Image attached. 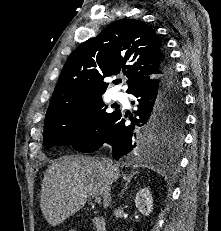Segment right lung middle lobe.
<instances>
[{"instance_id": "right-lung-middle-lobe-1", "label": "right lung middle lobe", "mask_w": 221, "mask_h": 231, "mask_svg": "<svg viewBox=\"0 0 221 231\" xmlns=\"http://www.w3.org/2000/svg\"><path fill=\"white\" fill-rule=\"evenodd\" d=\"M101 96L73 99L44 122L43 142L47 147L73 145L77 148L101 133L117 111L108 113ZM184 105L161 96L147 126L149 137L167 144L181 140Z\"/></svg>"}]
</instances>
